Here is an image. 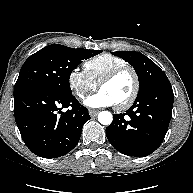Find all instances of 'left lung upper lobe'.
<instances>
[{"label":"left lung upper lobe","instance_id":"5c2ea615","mask_svg":"<svg viewBox=\"0 0 193 193\" xmlns=\"http://www.w3.org/2000/svg\"><path fill=\"white\" fill-rule=\"evenodd\" d=\"M113 55L119 56L130 63L139 79L138 96L146 93L153 85L167 78L166 74L148 57L136 51H117Z\"/></svg>","mask_w":193,"mask_h":193}]
</instances>
